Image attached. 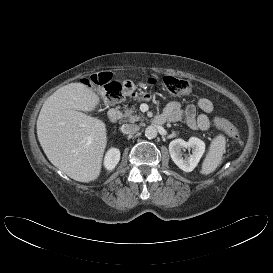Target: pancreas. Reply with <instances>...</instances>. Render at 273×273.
<instances>
[{
	"label": "pancreas",
	"instance_id": "pancreas-1",
	"mask_svg": "<svg viewBox=\"0 0 273 273\" xmlns=\"http://www.w3.org/2000/svg\"><path fill=\"white\" fill-rule=\"evenodd\" d=\"M137 110L134 108L125 107L123 117L126 121L134 123L143 120L144 116L141 113L135 114Z\"/></svg>",
	"mask_w": 273,
	"mask_h": 273
}]
</instances>
